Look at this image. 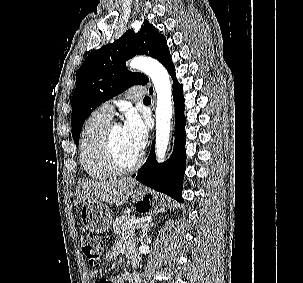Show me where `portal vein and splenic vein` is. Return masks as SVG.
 Here are the masks:
<instances>
[{"mask_svg":"<svg viewBox=\"0 0 303 283\" xmlns=\"http://www.w3.org/2000/svg\"><path fill=\"white\" fill-rule=\"evenodd\" d=\"M130 223L137 224V229L143 227V223L140 220H132Z\"/></svg>","mask_w":303,"mask_h":283,"instance_id":"1","label":"portal vein and splenic vein"}]
</instances>
